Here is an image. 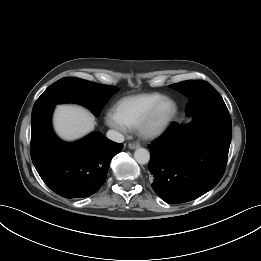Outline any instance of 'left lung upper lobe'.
Instances as JSON below:
<instances>
[{"instance_id": "left-lung-upper-lobe-1", "label": "left lung upper lobe", "mask_w": 261, "mask_h": 261, "mask_svg": "<svg viewBox=\"0 0 261 261\" xmlns=\"http://www.w3.org/2000/svg\"><path fill=\"white\" fill-rule=\"evenodd\" d=\"M188 97L186 112L197 116L205 113L228 112L221 95L209 83L187 80L170 85Z\"/></svg>"}]
</instances>
